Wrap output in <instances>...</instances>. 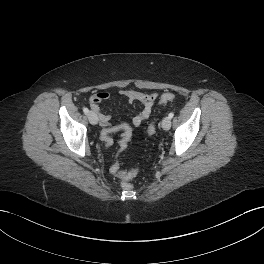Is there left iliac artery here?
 Returning a JSON list of instances; mask_svg holds the SVG:
<instances>
[{
	"label": "left iliac artery",
	"instance_id": "obj_1",
	"mask_svg": "<svg viewBox=\"0 0 264 264\" xmlns=\"http://www.w3.org/2000/svg\"><path fill=\"white\" fill-rule=\"evenodd\" d=\"M173 116H174V113H173V112L169 113V115H168V117H169L170 119L173 118Z\"/></svg>",
	"mask_w": 264,
	"mask_h": 264
}]
</instances>
